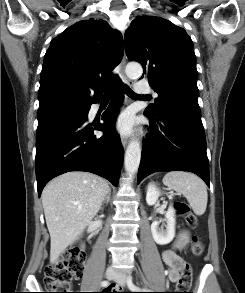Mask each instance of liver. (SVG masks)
Masks as SVG:
<instances>
[{
  "label": "liver",
  "instance_id": "obj_1",
  "mask_svg": "<svg viewBox=\"0 0 245 293\" xmlns=\"http://www.w3.org/2000/svg\"><path fill=\"white\" fill-rule=\"evenodd\" d=\"M109 190L106 180L88 172H68L46 185L42 205L50 233L52 264L82 236Z\"/></svg>",
  "mask_w": 245,
  "mask_h": 293
}]
</instances>
